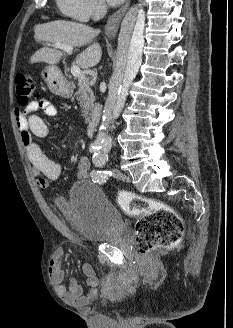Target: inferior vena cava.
<instances>
[{
    "mask_svg": "<svg viewBox=\"0 0 233 328\" xmlns=\"http://www.w3.org/2000/svg\"><path fill=\"white\" fill-rule=\"evenodd\" d=\"M107 8L105 3L103 2H98L96 3L94 7V18L95 19H100L106 14Z\"/></svg>",
    "mask_w": 233,
    "mask_h": 328,
    "instance_id": "obj_1",
    "label": "inferior vena cava"
}]
</instances>
